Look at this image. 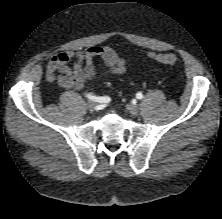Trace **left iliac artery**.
<instances>
[{
    "instance_id": "44dca946",
    "label": "left iliac artery",
    "mask_w": 222,
    "mask_h": 219,
    "mask_svg": "<svg viewBox=\"0 0 222 219\" xmlns=\"http://www.w3.org/2000/svg\"><path fill=\"white\" fill-rule=\"evenodd\" d=\"M137 99H142L143 98V94L141 92H138L136 94Z\"/></svg>"
}]
</instances>
